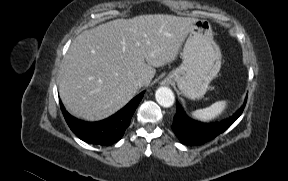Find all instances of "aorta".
Returning a JSON list of instances; mask_svg holds the SVG:
<instances>
[{
	"label": "aorta",
	"mask_w": 288,
	"mask_h": 181,
	"mask_svg": "<svg viewBox=\"0 0 288 181\" xmlns=\"http://www.w3.org/2000/svg\"><path fill=\"white\" fill-rule=\"evenodd\" d=\"M156 101L162 107H171L174 104L175 96L173 91L168 87H160L155 93Z\"/></svg>",
	"instance_id": "762f6f07"
}]
</instances>
